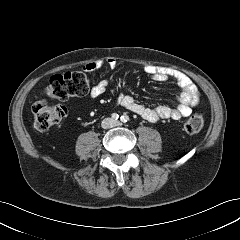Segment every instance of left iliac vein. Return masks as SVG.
Segmentation results:
<instances>
[{"mask_svg": "<svg viewBox=\"0 0 240 240\" xmlns=\"http://www.w3.org/2000/svg\"><path fill=\"white\" fill-rule=\"evenodd\" d=\"M115 125H119V122H118V121H115Z\"/></svg>", "mask_w": 240, "mask_h": 240, "instance_id": "obj_1", "label": "left iliac vein"}]
</instances>
